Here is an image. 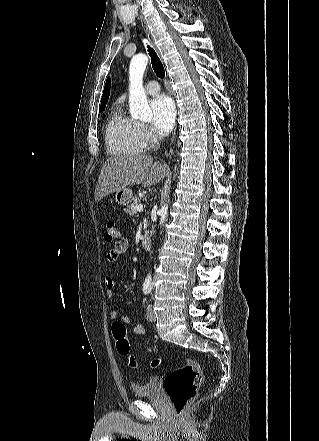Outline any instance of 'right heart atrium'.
Instances as JSON below:
<instances>
[{"instance_id":"obj_1","label":"right heart atrium","mask_w":319,"mask_h":441,"mask_svg":"<svg viewBox=\"0 0 319 441\" xmlns=\"http://www.w3.org/2000/svg\"><path fill=\"white\" fill-rule=\"evenodd\" d=\"M136 130L138 141L143 150L151 149L156 145L158 138L147 125L137 123Z\"/></svg>"}]
</instances>
